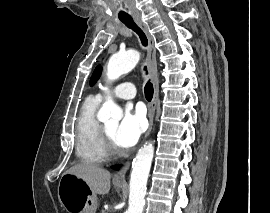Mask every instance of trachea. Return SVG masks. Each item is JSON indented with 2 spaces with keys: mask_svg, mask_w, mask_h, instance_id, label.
Returning a JSON list of instances; mask_svg holds the SVG:
<instances>
[{
  "mask_svg": "<svg viewBox=\"0 0 270 213\" xmlns=\"http://www.w3.org/2000/svg\"><path fill=\"white\" fill-rule=\"evenodd\" d=\"M128 28L132 29L134 32H136L141 40V43L143 46H147L148 45V39L145 35V33L143 32V30L134 22V20L132 18H128V19H122L121 20ZM144 70L147 73V67H144ZM144 92H145V97L148 101L152 100L153 97V84L148 81L144 87Z\"/></svg>",
  "mask_w": 270,
  "mask_h": 213,
  "instance_id": "3493384b",
  "label": "trachea"
}]
</instances>
